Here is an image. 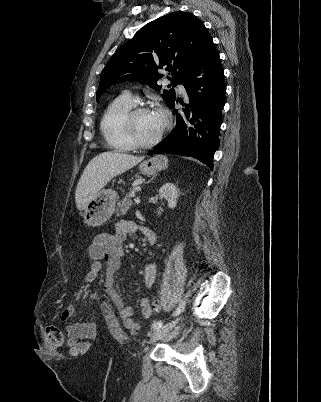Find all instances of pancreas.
Masks as SVG:
<instances>
[{"label":"pancreas","instance_id":"1","mask_svg":"<svg viewBox=\"0 0 321 402\" xmlns=\"http://www.w3.org/2000/svg\"><path fill=\"white\" fill-rule=\"evenodd\" d=\"M133 204L134 203L131 200L130 196H126L124 199L117 203L118 208L116 210V216L120 217L125 215Z\"/></svg>","mask_w":321,"mask_h":402}]
</instances>
